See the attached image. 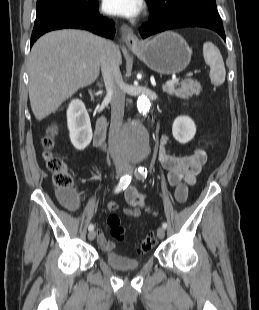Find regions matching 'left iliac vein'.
Here are the masks:
<instances>
[{"label":"left iliac vein","instance_id":"1","mask_svg":"<svg viewBox=\"0 0 259 310\" xmlns=\"http://www.w3.org/2000/svg\"><path fill=\"white\" fill-rule=\"evenodd\" d=\"M126 173L132 174L133 173V168L131 166H128L126 169ZM157 236L159 239H163L165 236V230L163 227H159L157 229Z\"/></svg>","mask_w":259,"mask_h":310}]
</instances>
